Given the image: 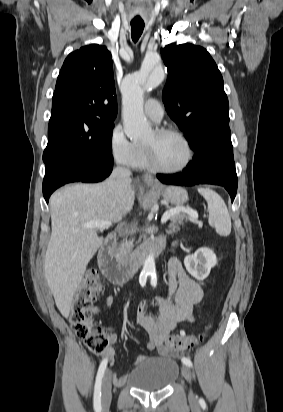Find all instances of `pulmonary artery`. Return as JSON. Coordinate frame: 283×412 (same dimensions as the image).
Wrapping results in <instances>:
<instances>
[{
	"label": "pulmonary artery",
	"mask_w": 283,
	"mask_h": 412,
	"mask_svg": "<svg viewBox=\"0 0 283 412\" xmlns=\"http://www.w3.org/2000/svg\"><path fill=\"white\" fill-rule=\"evenodd\" d=\"M145 115L152 121L159 123L164 115V110L161 102L156 98L147 100L144 106Z\"/></svg>",
	"instance_id": "1"
}]
</instances>
